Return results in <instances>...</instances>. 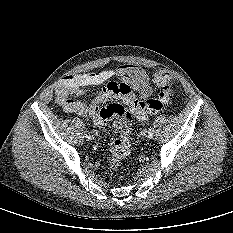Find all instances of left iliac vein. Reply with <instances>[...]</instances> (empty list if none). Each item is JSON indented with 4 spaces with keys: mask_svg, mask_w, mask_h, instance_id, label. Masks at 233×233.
Listing matches in <instances>:
<instances>
[{
    "mask_svg": "<svg viewBox=\"0 0 233 233\" xmlns=\"http://www.w3.org/2000/svg\"><path fill=\"white\" fill-rule=\"evenodd\" d=\"M148 130L146 128H143L141 131H140V136L141 137H146L148 136Z\"/></svg>",
    "mask_w": 233,
    "mask_h": 233,
    "instance_id": "4c4485c4",
    "label": "left iliac vein"
}]
</instances>
